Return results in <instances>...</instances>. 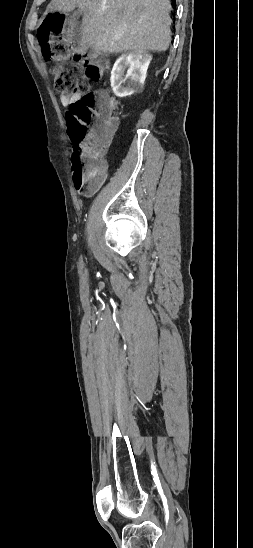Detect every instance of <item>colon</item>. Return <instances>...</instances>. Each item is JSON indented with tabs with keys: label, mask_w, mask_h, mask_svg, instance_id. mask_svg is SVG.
I'll use <instances>...</instances> for the list:
<instances>
[{
	"label": "colon",
	"mask_w": 253,
	"mask_h": 548,
	"mask_svg": "<svg viewBox=\"0 0 253 548\" xmlns=\"http://www.w3.org/2000/svg\"><path fill=\"white\" fill-rule=\"evenodd\" d=\"M38 38L44 59L53 63L55 89L65 95H81L67 111L74 145L71 164L74 184L90 185L106 170L102 156L116 125L115 103L104 93L89 91L88 81L100 78L101 67L92 53L85 52L78 43L68 42L63 14L49 13L39 27ZM67 60L74 69L65 67ZM76 69L82 70L81 80Z\"/></svg>",
	"instance_id": "1"
}]
</instances>
